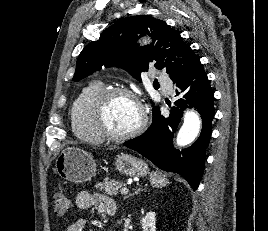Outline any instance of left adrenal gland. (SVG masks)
Here are the masks:
<instances>
[{"mask_svg":"<svg viewBox=\"0 0 268 231\" xmlns=\"http://www.w3.org/2000/svg\"><path fill=\"white\" fill-rule=\"evenodd\" d=\"M143 190H145V188L142 189L141 187H139L133 194H130V195L126 196L124 199H127V198H129L130 196L137 195V194H139V193H140L141 191H143Z\"/></svg>","mask_w":268,"mask_h":231,"instance_id":"left-adrenal-gland-1","label":"left adrenal gland"}]
</instances>
